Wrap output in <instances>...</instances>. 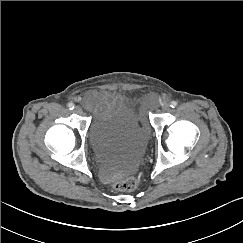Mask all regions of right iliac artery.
Returning a JSON list of instances; mask_svg holds the SVG:
<instances>
[{"mask_svg": "<svg viewBox=\"0 0 243 243\" xmlns=\"http://www.w3.org/2000/svg\"><path fill=\"white\" fill-rule=\"evenodd\" d=\"M74 104L73 103H68V108L70 109V110H72V109H74Z\"/></svg>", "mask_w": 243, "mask_h": 243, "instance_id": "1", "label": "right iliac artery"}]
</instances>
